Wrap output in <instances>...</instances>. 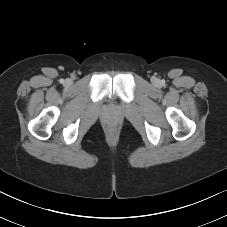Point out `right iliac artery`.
I'll list each match as a JSON object with an SVG mask.
<instances>
[{
    "label": "right iliac artery",
    "mask_w": 227,
    "mask_h": 227,
    "mask_svg": "<svg viewBox=\"0 0 227 227\" xmlns=\"http://www.w3.org/2000/svg\"><path fill=\"white\" fill-rule=\"evenodd\" d=\"M60 82H61V83H64V80H63V79H61V80H60Z\"/></svg>",
    "instance_id": "1"
}]
</instances>
